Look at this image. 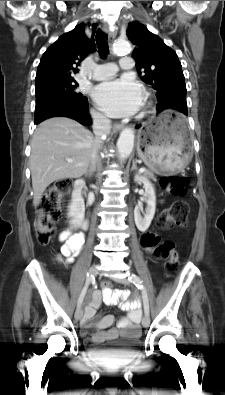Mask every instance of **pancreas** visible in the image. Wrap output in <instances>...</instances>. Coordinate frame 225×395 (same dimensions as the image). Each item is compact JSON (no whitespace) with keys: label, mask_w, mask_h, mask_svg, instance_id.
Wrapping results in <instances>:
<instances>
[{"label":"pancreas","mask_w":225,"mask_h":395,"mask_svg":"<svg viewBox=\"0 0 225 395\" xmlns=\"http://www.w3.org/2000/svg\"><path fill=\"white\" fill-rule=\"evenodd\" d=\"M144 175L146 176V177H148V178H151V179H154L155 177H154V174L151 172V171H145L144 172Z\"/></svg>","instance_id":"1"}]
</instances>
